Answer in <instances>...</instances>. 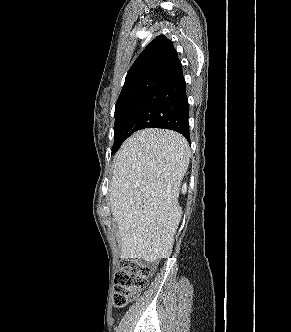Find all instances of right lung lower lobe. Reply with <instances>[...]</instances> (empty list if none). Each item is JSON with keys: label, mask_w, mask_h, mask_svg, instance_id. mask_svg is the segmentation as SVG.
Listing matches in <instances>:
<instances>
[{"label": "right lung lower lobe", "mask_w": 291, "mask_h": 332, "mask_svg": "<svg viewBox=\"0 0 291 332\" xmlns=\"http://www.w3.org/2000/svg\"><path fill=\"white\" fill-rule=\"evenodd\" d=\"M189 105L183 73L168 79L149 92L135 107L124 134L144 128H163L179 132L189 141Z\"/></svg>", "instance_id": "1"}]
</instances>
